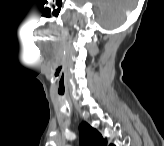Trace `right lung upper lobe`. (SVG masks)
<instances>
[{
  "mask_svg": "<svg viewBox=\"0 0 164 146\" xmlns=\"http://www.w3.org/2000/svg\"><path fill=\"white\" fill-rule=\"evenodd\" d=\"M81 142L88 146H106V140L101 134L88 123L83 122L80 126Z\"/></svg>",
  "mask_w": 164,
  "mask_h": 146,
  "instance_id": "1",
  "label": "right lung upper lobe"
}]
</instances>
